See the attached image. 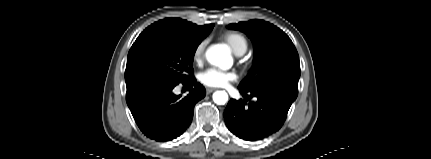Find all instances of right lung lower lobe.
<instances>
[{"mask_svg":"<svg viewBox=\"0 0 431 159\" xmlns=\"http://www.w3.org/2000/svg\"><path fill=\"white\" fill-rule=\"evenodd\" d=\"M179 84L191 87L184 98L172 92ZM205 94V88L194 77L181 82L153 77L127 86L126 102L140 130L150 139L165 142L189 127L194 106Z\"/></svg>","mask_w":431,"mask_h":159,"instance_id":"obj_1","label":"right lung lower lobe"}]
</instances>
